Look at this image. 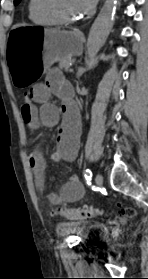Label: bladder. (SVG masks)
I'll use <instances>...</instances> for the list:
<instances>
[{
    "label": "bladder",
    "mask_w": 148,
    "mask_h": 279,
    "mask_svg": "<svg viewBox=\"0 0 148 279\" xmlns=\"http://www.w3.org/2000/svg\"><path fill=\"white\" fill-rule=\"evenodd\" d=\"M57 230L60 236L73 234L86 240H100L108 235L104 224L88 221H64L58 224Z\"/></svg>",
    "instance_id": "31cf9c89"
}]
</instances>
